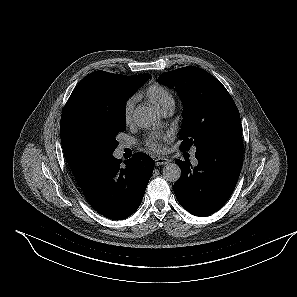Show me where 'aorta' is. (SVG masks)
Here are the masks:
<instances>
[{"mask_svg": "<svg viewBox=\"0 0 297 297\" xmlns=\"http://www.w3.org/2000/svg\"><path fill=\"white\" fill-rule=\"evenodd\" d=\"M134 122L141 128H151L157 123L156 111L149 106L138 107L133 115ZM181 175V169L176 163H168L163 168V177L170 182H176Z\"/></svg>", "mask_w": 297, "mask_h": 297, "instance_id": "762f6f07", "label": "aorta"}]
</instances>
